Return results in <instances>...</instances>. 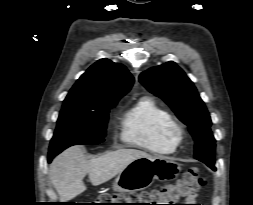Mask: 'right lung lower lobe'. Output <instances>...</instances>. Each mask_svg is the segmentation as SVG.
I'll return each mask as SVG.
<instances>
[{
    "label": "right lung lower lobe",
    "mask_w": 253,
    "mask_h": 205,
    "mask_svg": "<svg viewBox=\"0 0 253 205\" xmlns=\"http://www.w3.org/2000/svg\"><path fill=\"white\" fill-rule=\"evenodd\" d=\"M57 155V154H56ZM56 155L49 154L48 155V161L50 162Z\"/></svg>",
    "instance_id": "obj_1"
}]
</instances>
